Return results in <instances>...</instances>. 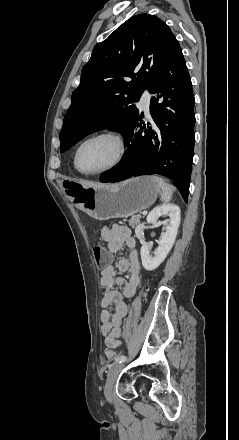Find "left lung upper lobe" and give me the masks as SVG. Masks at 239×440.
<instances>
[{
	"label": "left lung upper lobe",
	"instance_id": "obj_1",
	"mask_svg": "<svg viewBox=\"0 0 239 440\" xmlns=\"http://www.w3.org/2000/svg\"><path fill=\"white\" fill-rule=\"evenodd\" d=\"M177 43L165 22L139 14L97 44L72 94L59 134L60 152L96 130L124 135L141 114L132 103L152 85Z\"/></svg>",
	"mask_w": 239,
	"mask_h": 440
}]
</instances>
